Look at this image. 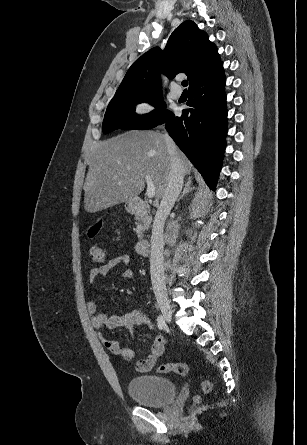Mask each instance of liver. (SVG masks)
Listing matches in <instances>:
<instances>
[{
  "mask_svg": "<svg viewBox=\"0 0 307 445\" xmlns=\"http://www.w3.org/2000/svg\"><path fill=\"white\" fill-rule=\"evenodd\" d=\"M186 174L192 164L177 148ZM171 156L164 134L154 130H129L107 140L95 142L93 158L84 182V208L97 212L138 196L145 186V176L152 178L156 198L167 186Z\"/></svg>",
  "mask_w": 307,
  "mask_h": 445,
  "instance_id": "6515ba94",
  "label": "liver"
}]
</instances>
